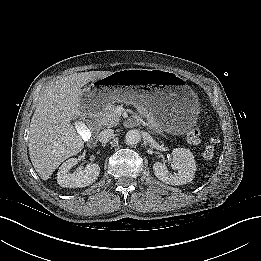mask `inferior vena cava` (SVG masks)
<instances>
[{
    "label": "inferior vena cava",
    "instance_id": "obj_1",
    "mask_svg": "<svg viewBox=\"0 0 261 261\" xmlns=\"http://www.w3.org/2000/svg\"><path fill=\"white\" fill-rule=\"evenodd\" d=\"M114 136V131L112 129H105L99 133L98 139L101 143L109 142Z\"/></svg>",
    "mask_w": 261,
    "mask_h": 261
}]
</instances>
